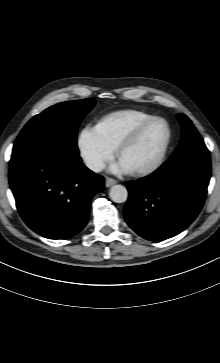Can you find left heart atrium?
<instances>
[{
	"instance_id": "1",
	"label": "left heart atrium",
	"mask_w": 220,
	"mask_h": 363,
	"mask_svg": "<svg viewBox=\"0 0 220 363\" xmlns=\"http://www.w3.org/2000/svg\"><path fill=\"white\" fill-rule=\"evenodd\" d=\"M110 171L115 174H127L132 170L121 160H117L110 166Z\"/></svg>"
}]
</instances>
